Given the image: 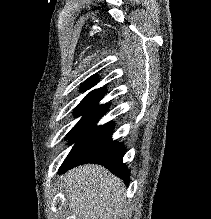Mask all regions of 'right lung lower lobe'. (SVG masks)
I'll return each mask as SVG.
<instances>
[{"label":"right lung lower lobe","instance_id":"1","mask_svg":"<svg viewBox=\"0 0 211 219\" xmlns=\"http://www.w3.org/2000/svg\"><path fill=\"white\" fill-rule=\"evenodd\" d=\"M114 123L109 122L99 126L86 138H84L67 156L59 174L84 163H97L104 165L113 174L129 183V170L122 162L125 152L123 144L115 142L111 138Z\"/></svg>","mask_w":211,"mask_h":219}]
</instances>
